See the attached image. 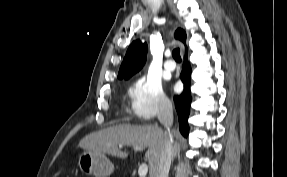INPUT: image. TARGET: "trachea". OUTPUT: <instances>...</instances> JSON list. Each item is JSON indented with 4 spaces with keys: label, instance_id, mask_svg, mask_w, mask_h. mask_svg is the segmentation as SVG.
Returning <instances> with one entry per match:
<instances>
[{
    "label": "trachea",
    "instance_id": "3493384b",
    "mask_svg": "<svg viewBox=\"0 0 287 177\" xmlns=\"http://www.w3.org/2000/svg\"><path fill=\"white\" fill-rule=\"evenodd\" d=\"M172 56L175 61H181V56H180V49L176 48L172 51Z\"/></svg>",
    "mask_w": 287,
    "mask_h": 177
}]
</instances>
